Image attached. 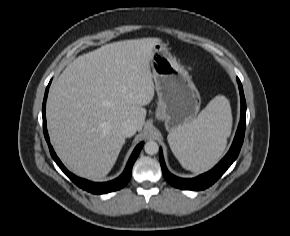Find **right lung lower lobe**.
<instances>
[{"mask_svg":"<svg viewBox=\"0 0 290 236\" xmlns=\"http://www.w3.org/2000/svg\"><path fill=\"white\" fill-rule=\"evenodd\" d=\"M51 83V81H50ZM49 83V85H50ZM49 85L46 88L45 91V96H44V100H43V105H42V115H43V131H44V136L45 139L48 143L49 146V150H50V154L52 156V158L54 159V161L57 163V165L61 168V170L80 188L94 193V194H104V193H108V192H113L116 190H119L121 188H123L128 181L131 178V174H132V167L134 162L136 161L141 148L143 147V143H140L137 145V147L135 148V150L133 151L127 165L126 168L124 170V172L122 173L121 176H119L117 179L109 181V182H104V183H94L82 178H79L77 176H75L74 174H72L71 172H69L64 165L61 163V161L59 160V158L56 156L52 146L50 145V140H49V136L47 133V128H46V117H45V106H46V99H47V94H48V89H49Z\"/></svg>","mask_w":290,"mask_h":236,"instance_id":"98d812e1","label":"right lung lower lobe"}]
</instances>
